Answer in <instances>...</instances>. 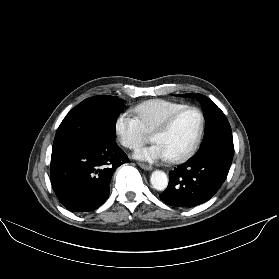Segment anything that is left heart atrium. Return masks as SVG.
I'll use <instances>...</instances> for the list:
<instances>
[{
    "label": "left heart atrium",
    "mask_w": 279,
    "mask_h": 279,
    "mask_svg": "<svg viewBox=\"0 0 279 279\" xmlns=\"http://www.w3.org/2000/svg\"><path fill=\"white\" fill-rule=\"evenodd\" d=\"M135 157L146 161L166 160L169 158L166 150L159 143L139 149L136 151Z\"/></svg>",
    "instance_id": "1"
}]
</instances>
